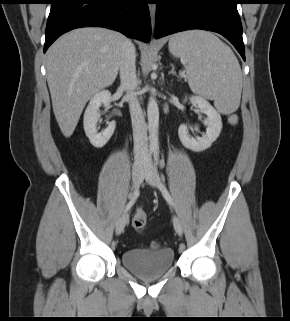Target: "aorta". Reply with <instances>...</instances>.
Segmentation results:
<instances>
[{
	"label": "aorta",
	"mask_w": 290,
	"mask_h": 321,
	"mask_svg": "<svg viewBox=\"0 0 290 321\" xmlns=\"http://www.w3.org/2000/svg\"><path fill=\"white\" fill-rule=\"evenodd\" d=\"M148 129L150 149H158L159 134V108L154 95H151L147 105Z\"/></svg>",
	"instance_id": "aorta-1"
}]
</instances>
